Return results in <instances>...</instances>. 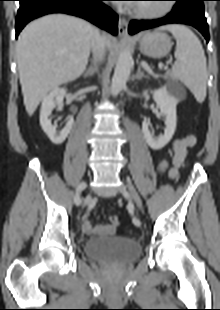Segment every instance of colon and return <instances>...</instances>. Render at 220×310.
Listing matches in <instances>:
<instances>
[{"label":"colon","instance_id":"colon-1","mask_svg":"<svg viewBox=\"0 0 220 310\" xmlns=\"http://www.w3.org/2000/svg\"><path fill=\"white\" fill-rule=\"evenodd\" d=\"M110 222L114 227H116L119 224V218L117 216H111Z\"/></svg>","mask_w":220,"mask_h":310}]
</instances>
